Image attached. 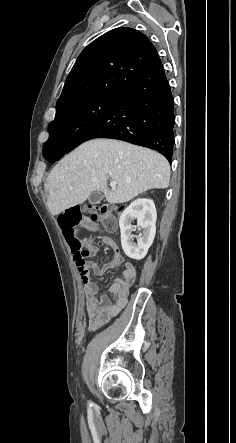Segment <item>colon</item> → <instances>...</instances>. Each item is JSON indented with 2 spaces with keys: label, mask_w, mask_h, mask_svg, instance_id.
Returning <instances> with one entry per match:
<instances>
[{
  "label": "colon",
  "mask_w": 236,
  "mask_h": 443,
  "mask_svg": "<svg viewBox=\"0 0 236 443\" xmlns=\"http://www.w3.org/2000/svg\"><path fill=\"white\" fill-rule=\"evenodd\" d=\"M84 215H88L90 226L101 224L104 228L111 230L114 227L116 212L107 205H86L83 207H69L58 216V224L63 230L69 244L73 260L78 265H83L91 255L89 248H84L85 237L81 222Z\"/></svg>",
  "instance_id": "colon-1"
}]
</instances>
